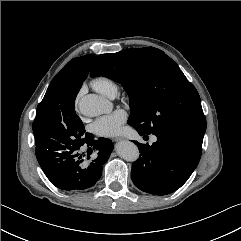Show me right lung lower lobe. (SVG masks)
<instances>
[{"mask_svg":"<svg viewBox=\"0 0 241 241\" xmlns=\"http://www.w3.org/2000/svg\"><path fill=\"white\" fill-rule=\"evenodd\" d=\"M37 160L52 184L57 188L71 191L92 187L101 177L102 165L108 160L114 146L111 140L90 137L76 148L59 149L56 146L42 144L35 137ZM87 148L88 156L95 152L93 160L82 163L83 149Z\"/></svg>","mask_w":241,"mask_h":241,"instance_id":"right-lung-lower-lobe-1","label":"right lung lower lobe"}]
</instances>
